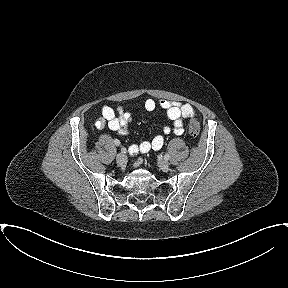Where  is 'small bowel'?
Listing matches in <instances>:
<instances>
[{
  "mask_svg": "<svg viewBox=\"0 0 288 288\" xmlns=\"http://www.w3.org/2000/svg\"><path fill=\"white\" fill-rule=\"evenodd\" d=\"M159 106L162 108L167 117L171 120L172 125H165L162 129L163 134L153 137L151 141H143L140 144H134L130 147L129 151L132 155L139 153H148L152 150H160L165 142L164 135L174 133L182 135L184 132V119L196 115V111L192 105L188 103H179L168 100H160L156 102L154 99H147L144 107L147 111H153ZM132 119V115L124 111L122 107H111L104 105L101 108V116L96 120L95 125L98 129L108 127L110 130L119 135L128 133L127 126Z\"/></svg>",
  "mask_w": 288,
  "mask_h": 288,
  "instance_id": "small-bowel-1",
  "label": "small bowel"
}]
</instances>
